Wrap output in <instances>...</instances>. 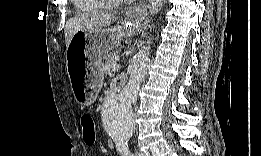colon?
<instances>
[{
	"label": "colon",
	"mask_w": 261,
	"mask_h": 156,
	"mask_svg": "<svg viewBox=\"0 0 261 156\" xmlns=\"http://www.w3.org/2000/svg\"><path fill=\"white\" fill-rule=\"evenodd\" d=\"M80 126L84 142L89 146L94 145L96 142L97 128L93 116L89 113L81 114Z\"/></svg>",
	"instance_id": "obj_1"
}]
</instances>
